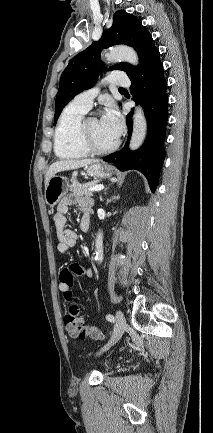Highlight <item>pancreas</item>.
Here are the masks:
<instances>
[{"label":"pancreas","mask_w":213,"mask_h":433,"mask_svg":"<svg viewBox=\"0 0 213 433\" xmlns=\"http://www.w3.org/2000/svg\"><path fill=\"white\" fill-rule=\"evenodd\" d=\"M93 186V183L81 184L76 178L71 179L70 191H72L77 196H92V191L89 188Z\"/></svg>","instance_id":"cf45deb5"}]
</instances>
